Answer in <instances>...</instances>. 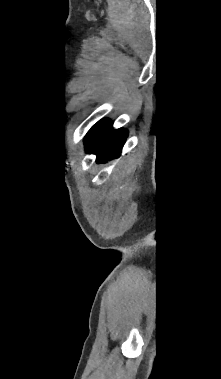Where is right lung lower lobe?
Instances as JSON below:
<instances>
[{"instance_id": "1", "label": "right lung lower lobe", "mask_w": 221, "mask_h": 379, "mask_svg": "<svg viewBox=\"0 0 221 379\" xmlns=\"http://www.w3.org/2000/svg\"><path fill=\"white\" fill-rule=\"evenodd\" d=\"M127 131L125 129H112V124L96 143L86 142V150L89 153L97 154V161L104 162L107 159L116 157L125 143Z\"/></svg>"}]
</instances>
